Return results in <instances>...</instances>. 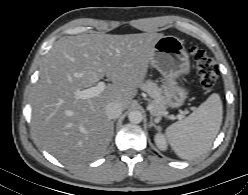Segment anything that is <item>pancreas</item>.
Masks as SVG:
<instances>
[{"label": "pancreas", "mask_w": 248, "mask_h": 195, "mask_svg": "<svg viewBox=\"0 0 248 195\" xmlns=\"http://www.w3.org/2000/svg\"><path fill=\"white\" fill-rule=\"evenodd\" d=\"M141 89L153 98L151 102V114L156 117H161L166 113V100L162 95V89L153 81L148 80L141 84Z\"/></svg>", "instance_id": "pancreas-1"}]
</instances>
